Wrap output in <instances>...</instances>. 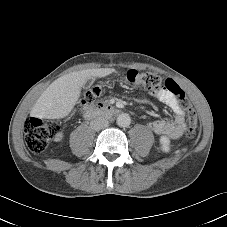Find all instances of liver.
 <instances>
[{"label":"liver","mask_w":227,"mask_h":227,"mask_svg":"<svg viewBox=\"0 0 227 227\" xmlns=\"http://www.w3.org/2000/svg\"><path fill=\"white\" fill-rule=\"evenodd\" d=\"M113 68L87 69L64 75L52 82L32 108L31 115L41 119H61L69 115L76 105L81 88L93 77H106Z\"/></svg>","instance_id":"1"}]
</instances>
